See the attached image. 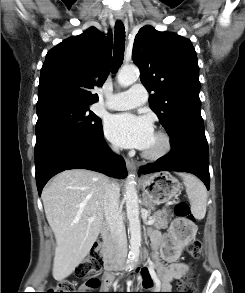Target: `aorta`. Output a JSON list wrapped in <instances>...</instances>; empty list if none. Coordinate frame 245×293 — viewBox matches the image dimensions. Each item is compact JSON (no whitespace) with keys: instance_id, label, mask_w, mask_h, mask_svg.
<instances>
[{"instance_id":"1","label":"aorta","mask_w":245,"mask_h":293,"mask_svg":"<svg viewBox=\"0 0 245 293\" xmlns=\"http://www.w3.org/2000/svg\"><path fill=\"white\" fill-rule=\"evenodd\" d=\"M138 78V70L135 66L122 68L117 76L118 83L127 87L132 85ZM126 212L129 220L130 252L128 263L133 265L138 261L141 245V223L139 219V203L134 176L129 175L125 187Z\"/></svg>"}]
</instances>
